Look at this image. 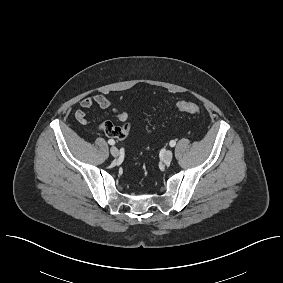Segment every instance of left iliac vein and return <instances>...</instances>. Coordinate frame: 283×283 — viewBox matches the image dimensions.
<instances>
[{
    "label": "left iliac vein",
    "mask_w": 283,
    "mask_h": 283,
    "mask_svg": "<svg viewBox=\"0 0 283 283\" xmlns=\"http://www.w3.org/2000/svg\"><path fill=\"white\" fill-rule=\"evenodd\" d=\"M172 158H173V152L171 150H168L165 152L163 156V161L165 164H170V162L172 161Z\"/></svg>",
    "instance_id": "left-iliac-vein-1"
}]
</instances>
